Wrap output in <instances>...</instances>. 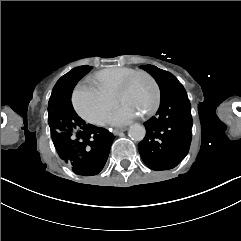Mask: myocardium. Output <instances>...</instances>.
I'll list each match as a JSON object with an SVG mask.
<instances>
[{
    "label": "myocardium",
    "instance_id": "f54148a6",
    "mask_svg": "<svg viewBox=\"0 0 241 241\" xmlns=\"http://www.w3.org/2000/svg\"><path fill=\"white\" fill-rule=\"evenodd\" d=\"M141 76L146 78L147 81L151 84L155 94V97H154L155 99L153 101V104L149 107L148 110H146L145 113L142 114L143 118H147L149 115L154 114L162 98L161 97L162 92L160 89H158L159 86L155 80V76L153 73H150L149 71H143V70H137V71L134 70L131 73L125 74L122 77V81L119 83V88L117 89V99L124 100L126 98L124 96V91L126 87L132 82L137 81Z\"/></svg>",
    "mask_w": 241,
    "mask_h": 241
}]
</instances>
